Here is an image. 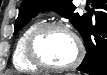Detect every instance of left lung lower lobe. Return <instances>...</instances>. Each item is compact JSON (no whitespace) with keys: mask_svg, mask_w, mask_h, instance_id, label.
<instances>
[{"mask_svg":"<svg viewBox=\"0 0 107 75\" xmlns=\"http://www.w3.org/2000/svg\"><path fill=\"white\" fill-rule=\"evenodd\" d=\"M91 2L96 11H89V21L80 33L87 54L77 70L89 75H107V0H92ZM92 14L95 15L94 25L91 21Z\"/></svg>","mask_w":107,"mask_h":75,"instance_id":"left-lung-lower-lobe-1","label":"left lung lower lobe"}]
</instances>
